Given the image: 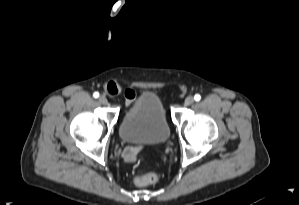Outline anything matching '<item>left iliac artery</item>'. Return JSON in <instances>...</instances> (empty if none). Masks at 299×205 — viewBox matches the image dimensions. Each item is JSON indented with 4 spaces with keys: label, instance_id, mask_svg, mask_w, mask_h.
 I'll return each instance as SVG.
<instances>
[{
    "label": "left iliac artery",
    "instance_id": "obj_1",
    "mask_svg": "<svg viewBox=\"0 0 299 205\" xmlns=\"http://www.w3.org/2000/svg\"><path fill=\"white\" fill-rule=\"evenodd\" d=\"M194 99H195L196 101H199V100L201 99V96H200L199 94H196V95L194 96Z\"/></svg>",
    "mask_w": 299,
    "mask_h": 205
}]
</instances>
